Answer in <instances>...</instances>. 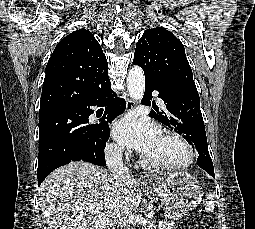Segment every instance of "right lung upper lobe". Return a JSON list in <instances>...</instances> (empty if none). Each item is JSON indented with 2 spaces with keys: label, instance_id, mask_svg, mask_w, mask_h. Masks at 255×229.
Segmentation results:
<instances>
[{
  "label": "right lung upper lobe",
  "instance_id": "right-lung-upper-lobe-1",
  "mask_svg": "<svg viewBox=\"0 0 255 229\" xmlns=\"http://www.w3.org/2000/svg\"><path fill=\"white\" fill-rule=\"evenodd\" d=\"M108 63L94 35L85 29L64 37L53 51L45 72L39 112L86 101L109 81Z\"/></svg>",
  "mask_w": 255,
  "mask_h": 229
}]
</instances>
